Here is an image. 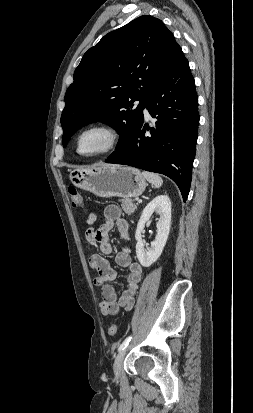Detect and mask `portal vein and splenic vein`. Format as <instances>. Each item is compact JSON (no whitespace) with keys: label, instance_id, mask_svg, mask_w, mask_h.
<instances>
[{"label":"portal vein and splenic vein","instance_id":"obj_1","mask_svg":"<svg viewBox=\"0 0 253 413\" xmlns=\"http://www.w3.org/2000/svg\"><path fill=\"white\" fill-rule=\"evenodd\" d=\"M136 201H137V202H139V203L141 202V200H140V199H136Z\"/></svg>","mask_w":253,"mask_h":413}]
</instances>
